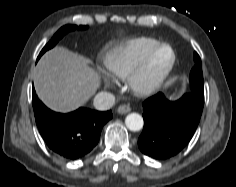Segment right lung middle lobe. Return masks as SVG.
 Returning <instances> with one entry per match:
<instances>
[{
	"label": "right lung middle lobe",
	"mask_w": 236,
	"mask_h": 187,
	"mask_svg": "<svg viewBox=\"0 0 236 187\" xmlns=\"http://www.w3.org/2000/svg\"><path fill=\"white\" fill-rule=\"evenodd\" d=\"M87 26H79L78 29L83 30L86 29ZM77 26L76 25H65L63 27H61L56 34L52 37V39L45 45V47L42 49V51L40 52L38 59L41 57V55L51 49L52 47H54L57 42L68 32L76 30Z\"/></svg>",
	"instance_id": "right-lung-middle-lobe-1"
}]
</instances>
